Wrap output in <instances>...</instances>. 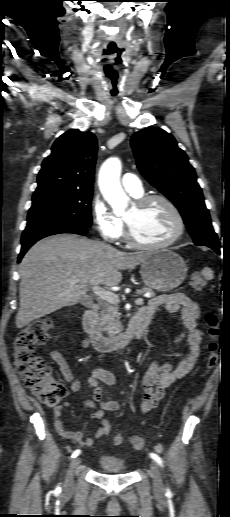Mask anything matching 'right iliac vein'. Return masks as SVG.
<instances>
[{
    "label": "right iliac vein",
    "instance_id": "obj_1",
    "mask_svg": "<svg viewBox=\"0 0 230 517\" xmlns=\"http://www.w3.org/2000/svg\"><path fill=\"white\" fill-rule=\"evenodd\" d=\"M79 464H80V458L73 459L70 464L69 470L67 472L65 484H64L65 493L70 492L73 488V475L76 472V470L78 469Z\"/></svg>",
    "mask_w": 230,
    "mask_h": 517
}]
</instances>
